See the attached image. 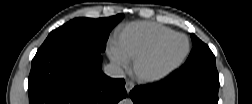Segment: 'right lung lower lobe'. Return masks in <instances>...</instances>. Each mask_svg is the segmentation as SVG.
Instances as JSON below:
<instances>
[{"label":"right lung lower lobe","mask_w":252,"mask_h":104,"mask_svg":"<svg viewBox=\"0 0 252 104\" xmlns=\"http://www.w3.org/2000/svg\"><path fill=\"white\" fill-rule=\"evenodd\" d=\"M101 53L65 46L36 54L28 79L30 104H117L125 98L124 79L101 70Z\"/></svg>","instance_id":"98d812e1"}]
</instances>
